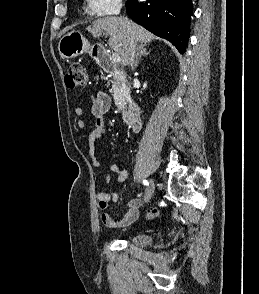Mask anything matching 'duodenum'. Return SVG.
<instances>
[{
    "label": "duodenum",
    "mask_w": 259,
    "mask_h": 294,
    "mask_svg": "<svg viewBox=\"0 0 259 294\" xmlns=\"http://www.w3.org/2000/svg\"><path fill=\"white\" fill-rule=\"evenodd\" d=\"M94 57L106 72L114 73L120 77L124 76V72L118 69L116 64L111 60L110 56L104 51L101 50L95 52ZM123 117L134 131L141 128L142 119L139 108L131 98H128L127 100V105L123 110Z\"/></svg>",
    "instance_id": "1"
}]
</instances>
